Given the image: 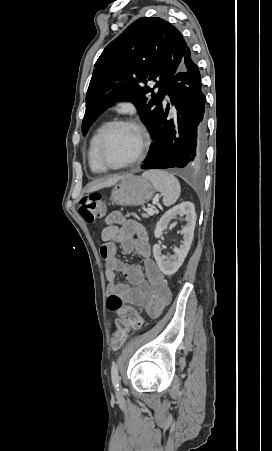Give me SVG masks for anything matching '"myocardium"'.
Masks as SVG:
<instances>
[{
    "label": "myocardium",
    "mask_w": 272,
    "mask_h": 451,
    "mask_svg": "<svg viewBox=\"0 0 272 451\" xmlns=\"http://www.w3.org/2000/svg\"><path fill=\"white\" fill-rule=\"evenodd\" d=\"M115 127H123L125 129H128L132 133L133 137V148L131 155L127 162L123 164L122 166L118 168H108L104 165L103 159H102V148L106 139L107 134L110 132L111 129ZM146 134L144 130L138 126L137 124L131 122V121H123V120H115L112 122H109L100 132L97 144H96V158L99 165V171L100 173H106V172H121L125 169H127L138 157L140 154L143 142L145 140Z\"/></svg>",
    "instance_id": "myocardium-1"
}]
</instances>
